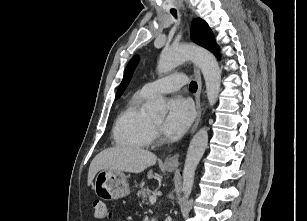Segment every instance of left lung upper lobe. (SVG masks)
Wrapping results in <instances>:
<instances>
[{
	"instance_id": "5c2ea615",
	"label": "left lung upper lobe",
	"mask_w": 307,
	"mask_h": 221,
	"mask_svg": "<svg viewBox=\"0 0 307 221\" xmlns=\"http://www.w3.org/2000/svg\"><path fill=\"white\" fill-rule=\"evenodd\" d=\"M191 39L196 44L213 52L219 58V55H218L219 47L215 42L211 29L209 28L208 24L204 20L200 18H196L192 21ZM138 61H139V56H134L128 63L127 68L125 70L123 80L118 87L116 99H118L122 95V93L128 86Z\"/></svg>"
}]
</instances>
